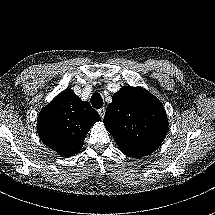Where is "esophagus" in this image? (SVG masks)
<instances>
[{"label":"esophagus","instance_id":"obj_1","mask_svg":"<svg viewBox=\"0 0 215 215\" xmlns=\"http://www.w3.org/2000/svg\"><path fill=\"white\" fill-rule=\"evenodd\" d=\"M105 112H106L105 107H102V108L98 109V114L100 115V117L102 119L104 118Z\"/></svg>","mask_w":215,"mask_h":215}]
</instances>
